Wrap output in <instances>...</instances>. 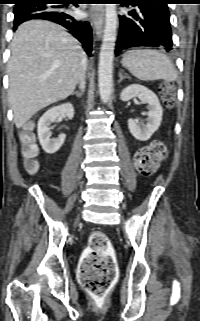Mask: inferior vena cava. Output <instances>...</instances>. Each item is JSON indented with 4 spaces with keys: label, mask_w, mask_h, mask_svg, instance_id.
Returning a JSON list of instances; mask_svg holds the SVG:
<instances>
[{
    "label": "inferior vena cava",
    "mask_w": 200,
    "mask_h": 321,
    "mask_svg": "<svg viewBox=\"0 0 200 321\" xmlns=\"http://www.w3.org/2000/svg\"><path fill=\"white\" fill-rule=\"evenodd\" d=\"M87 67V59L85 53L83 54V57L81 59L80 63V70L78 74V83L80 85L81 90H84L85 88V71Z\"/></svg>",
    "instance_id": "obj_1"
}]
</instances>
